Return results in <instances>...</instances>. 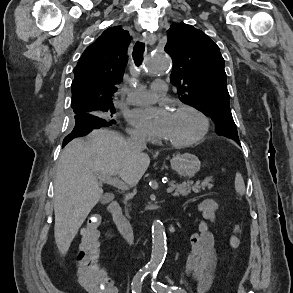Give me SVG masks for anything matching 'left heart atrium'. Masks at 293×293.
<instances>
[{
  "mask_svg": "<svg viewBox=\"0 0 293 293\" xmlns=\"http://www.w3.org/2000/svg\"><path fill=\"white\" fill-rule=\"evenodd\" d=\"M172 113L162 107L136 108L128 113L129 121L152 136L165 137Z\"/></svg>",
  "mask_w": 293,
  "mask_h": 293,
  "instance_id": "39dd6f15",
  "label": "left heart atrium"
}]
</instances>
